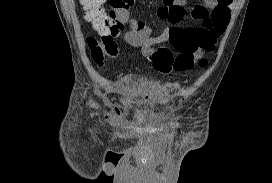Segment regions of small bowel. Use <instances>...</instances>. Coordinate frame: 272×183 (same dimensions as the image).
<instances>
[{"instance_id":"small-bowel-1","label":"small bowel","mask_w":272,"mask_h":183,"mask_svg":"<svg viewBox=\"0 0 272 183\" xmlns=\"http://www.w3.org/2000/svg\"><path fill=\"white\" fill-rule=\"evenodd\" d=\"M233 5L234 0H203L190 11L196 24L185 25V0H161L157 13L166 25L159 36H153L147 23L127 17L129 29L122 37L130 46L139 48L143 56H149L154 45L167 43L174 55L175 70H189L212 51L228 25ZM109 118L118 121L122 114L115 110ZM136 120L141 121L138 116Z\"/></svg>"}]
</instances>
